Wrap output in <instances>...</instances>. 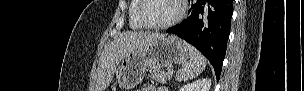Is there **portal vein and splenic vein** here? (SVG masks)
<instances>
[{
  "label": "portal vein and splenic vein",
  "mask_w": 304,
  "mask_h": 91,
  "mask_svg": "<svg viewBox=\"0 0 304 91\" xmlns=\"http://www.w3.org/2000/svg\"><path fill=\"white\" fill-rule=\"evenodd\" d=\"M168 73H169V74H173V70L169 69V70H168Z\"/></svg>",
  "instance_id": "obj_1"
}]
</instances>
